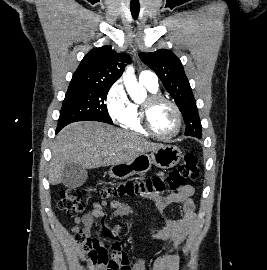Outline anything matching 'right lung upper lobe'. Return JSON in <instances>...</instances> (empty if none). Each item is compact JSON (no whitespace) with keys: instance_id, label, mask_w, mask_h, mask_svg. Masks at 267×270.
<instances>
[{"instance_id":"1","label":"right lung upper lobe","mask_w":267,"mask_h":270,"mask_svg":"<svg viewBox=\"0 0 267 270\" xmlns=\"http://www.w3.org/2000/svg\"><path fill=\"white\" fill-rule=\"evenodd\" d=\"M129 63H131L129 55L116 53L110 46L94 48L84 56L70 84L113 85Z\"/></svg>"}]
</instances>
